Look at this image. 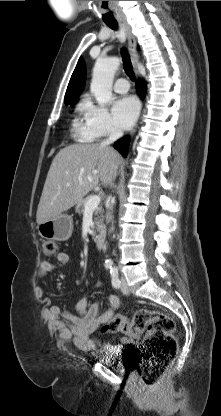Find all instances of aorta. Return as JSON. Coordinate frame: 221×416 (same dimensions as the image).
Instances as JSON below:
<instances>
[{"instance_id":"obj_1","label":"aorta","mask_w":221,"mask_h":416,"mask_svg":"<svg viewBox=\"0 0 221 416\" xmlns=\"http://www.w3.org/2000/svg\"><path fill=\"white\" fill-rule=\"evenodd\" d=\"M120 65L117 57L98 60L93 68L90 90L99 105H105L112 100V85L115 72ZM112 264V260H108Z\"/></svg>"}]
</instances>
